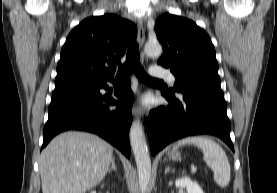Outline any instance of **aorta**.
<instances>
[{"mask_svg":"<svg viewBox=\"0 0 277 193\" xmlns=\"http://www.w3.org/2000/svg\"><path fill=\"white\" fill-rule=\"evenodd\" d=\"M144 51L148 56L157 57L162 53V46L158 42H148L144 47ZM130 143L137 165L139 188L144 193L150 181L151 161L143 127L139 119L134 120L131 125Z\"/></svg>","mask_w":277,"mask_h":193,"instance_id":"1","label":"aorta"}]
</instances>
